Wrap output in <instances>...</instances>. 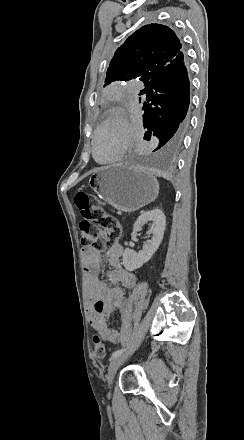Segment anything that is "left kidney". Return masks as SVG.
Masks as SVG:
<instances>
[{
    "mask_svg": "<svg viewBox=\"0 0 244 440\" xmlns=\"http://www.w3.org/2000/svg\"><path fill=\"white\" fill-rule=\"evenodd\" d=\"M147 222H153L152 226H154V228L151 232H148V234H153V236L151 240H148L147 244H144L142 252L136 254L135 250H130V248L124 250L122 264L128 272H134V270L146 264V262L152 258L153 254H155L156 250H158L163 240L166 218L162 210L155 208V210L141 214L133 226V232H141Z\"/></svg>",
    "mask_w": 244,
    "mask_h": 440,
    "instance_id": "obj_1",
    "label": "left kidney"
}]
</instances>
